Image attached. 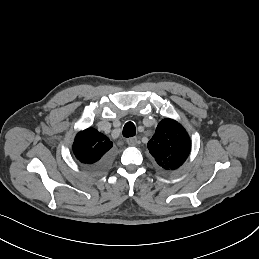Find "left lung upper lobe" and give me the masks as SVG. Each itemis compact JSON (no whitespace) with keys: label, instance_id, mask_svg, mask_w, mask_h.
Here are the masks:
<instances>
[{"label":"left lung upper lobe","instance_id":"obj_1","mask_svg":"<svg viewBox=\"0 0 259 259\" xmlns=\"http://www.w3.org/2000/svg\"><path fill=\"white\" fill-rule=\"evenodd\" d=\"M147 147L157 164L165 170L179 168L190 153V138L181 124L163 119Z\"/></svg>","mask_w":259,"mask_h":259}]
</instances>
